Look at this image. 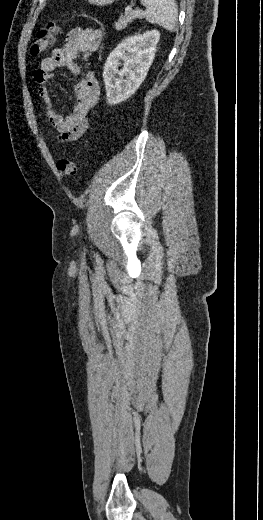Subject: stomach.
I'll use <instances>...</instances> for the list:
<instances>
[{
	"mask_svg": "<svg viewBox=\"0 0 263 520\" xmlns=\"http://www.w3.org/2000/svg\"><path fill=\"white\" fill-rule=\"evenodd\" d=\"M115 1H117V0H88V2L90 4L97 5V6L109 5Z\"/></svg>",
	"mask_w": 263,
	"mask_h": 520,
	"instance_id": "0dacf381",
	"label": "stomach"
}]
</instances>
